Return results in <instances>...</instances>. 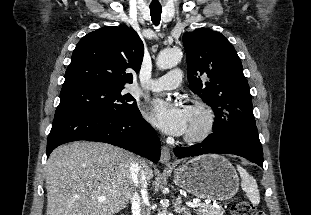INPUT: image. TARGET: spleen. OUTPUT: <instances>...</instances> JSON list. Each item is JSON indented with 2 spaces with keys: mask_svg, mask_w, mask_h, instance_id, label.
<instances>
[{
  "mask_svg": "<svg viewBox=\"0 0 311 215\" xmlns=\"http://www.w3.org/2000/svg\"><path fill=\"white\" fill-rule=\"evenodd\" d=\"M237 170L241 177V187L248 199L253 205H258L260 202V194L256 180L241 166H237Z\"/></svg>",
  "mask_w": 311,
  "mask_h": 215,
  "instance_id": "1",
  "label": "spleen"
}]
</instances>
